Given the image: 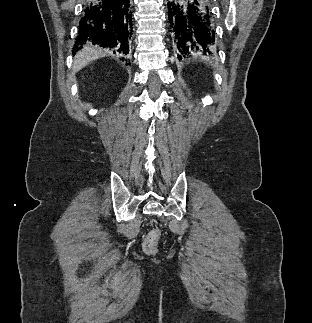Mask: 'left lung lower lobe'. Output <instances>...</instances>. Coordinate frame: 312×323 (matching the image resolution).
<instances>
[{
    "label": "left lung lower lobe",
    "mask_w": 312,
    "mask_h": 323,
    "mask_svg": "<svg viewBox=\"0 0 312 323\" xmlns=\"http://www.w3.org/2000/svg\"><path fill=\"white\" fill-rule=\"evenodd\" d=\"M167 8L170 40L179 60L216 54L211 0H171Z\"/></svg>",
    "instance_id": "0a47b994"
}]
</instances>
